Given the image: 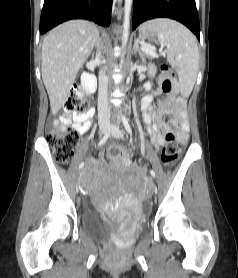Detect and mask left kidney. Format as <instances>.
<instances>
[{
    "label": "left kidney",
    "instance_id": "5707ae66",
    "mask_svg": "<svg viewBox=\"0 0 238 278\" xmlns=\"http://www.w3.org/2000/svg\"><path fill=\"white\" fill-rule=\"evenodd\" d=\"M151 87H152V84H151L150 82H147V83L144 85V88H145L146 90H150Z\"/></svg>",
    "mask_w": 238,
    "mask_h": 278
}]
</instances>
